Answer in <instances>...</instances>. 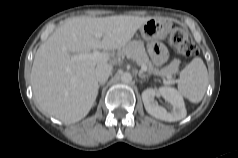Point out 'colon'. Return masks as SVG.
<instances>
[{"mask_svg":"<svg viewBox=\"0 0 238 158\" xmlns=\"http://www.w3.org/2000/svg\"><path fill=\"white\" fill-rule=\"evenodd\" d=\"M170 42L183 56H194L198 52L195 43L187 32L177 26H173L171 29Z\"/></svg>","mask_w":238,"mask_h":158,"instance_id":"colon-1","label":"colon"}]
</instances>
